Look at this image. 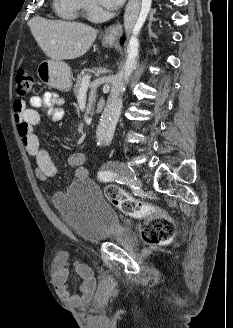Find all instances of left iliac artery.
<instances>
[{"label":"left iliac artery","instance_id":"44dca946","mask_svg":"<svg viewBox=\"0 0 233 328\" xmlns=\"http://www.w3.org/2000/svg\"><path fill=\"white\" fill-rule=\"evenodd\" d=\"M117 174L116 173H113L111 171H100L99 174H98V177L101 181L103 182H109V181H112L116 178ZM117 182L119 183H125L124 180H122L121 178H118L117 179ZM126 184V183H125Z\"/></svg>","mask_w":233,"mask_h":328}]
</instances>
